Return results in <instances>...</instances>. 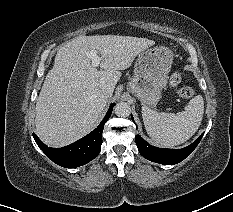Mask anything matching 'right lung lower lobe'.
<instances>
[{"mask_svg": "<svg viewBox=\"0 0 233 212\" xmlns=\"http://www.w3.org/2000/svg\"><path fill=\"white\" fill-rule=\"evenodd\" d=\"M112 109V107L109 108L104 119L94 131L68 146L51 148L40 141L36 134L33 133V137L40 149L54 163L66 168H75L84 165L98 156L102 144L104 124L111 116Z\"/></svg>", "mask_w": 233, "mask_h": 212, "instance_id": "right-lung-lower-lobe-1", "label": "right lung lower lobe"}]
</instances>
